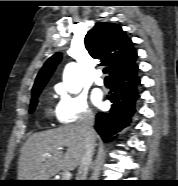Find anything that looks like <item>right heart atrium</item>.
Here are the masks:
<instances>
[{
	"label": "right heart atrium",
	"mask_w": 178,
	"mask_h": 186,
	"mask_svg": "<svg viewBox=\"0 0 178 186\" xmlns=\"http://www.w3.org/2000/svg\"><path fill=\"white\" fill-rule=\"evenodd\" d=\"M57 92L60 95V99L56 115L60 122L74 123L93 119V112L88 105L86 95L83 93L71 94L62 89H58Z\"/></svg>",
	"instance_id": "right-heart-atrium-1"
}]
</instances>
